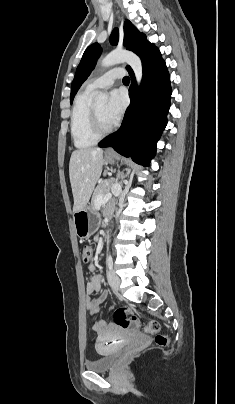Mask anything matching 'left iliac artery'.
Masks as SVG:
<instances>
[{
	"label": "left iliac artery",
	"instance_id": "obj_1",
	"mask_svg": "<svg viewBox=\"0 0 235 404\" xmlns=\"http://www.w3.org/2000/svg\"><path fill=\"white\" fill-rule=\"evenodd\" d=\"M108 268H109V270H112V268H113V260H112L111 255H109V257H108Z\"/></svg>",
	"mask_w": 235,
	"mask_h": 404
}]
</instances>
